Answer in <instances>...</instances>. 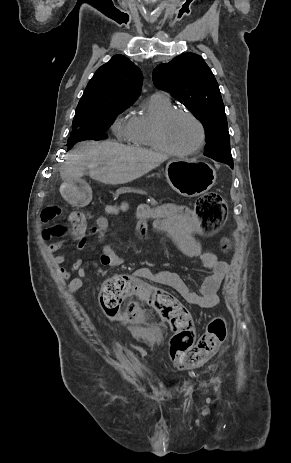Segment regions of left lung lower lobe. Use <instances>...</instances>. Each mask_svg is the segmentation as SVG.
<instances>
[{
  "mask_svg": "<svg viewBox=\"0 0 291 463\" xmlns=\"http://www.w3.org/2000/svg\"><path fill=\"white\" fill-rule=\"evenodd\" d=\"M216 161L227 163L231 168H233V160L219 159V160H216Z\"/></svg>",
  "mask_w": 291,
  "mask_h": 463,
  "instance_id": "0a47b994",
  "label": "left lung lower lobe"
}]
</instances>
